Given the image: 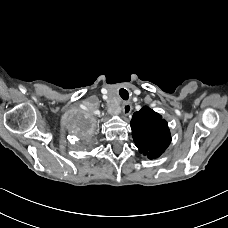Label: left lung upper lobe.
<instances>
[{"mask_svg": "<svg viewBox=\"0 0 228 228\" xmlns=\"http://www.w3.org/2000/svg\"><path fill=\"white\" fill-rule=\"evenodd\" d=\"M131 129L135 145L149 159L159 157L171 142L167 122L147 106L133 114Z\"/></svg>", "mask_w": 228, "mask_h": 228, "instance_id": "5c2ea615", "label": "left lung upper lobe"}]
</instances>
